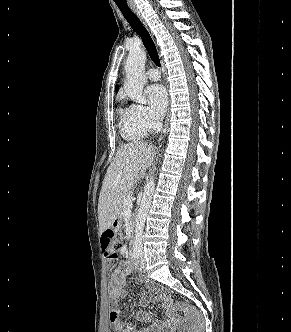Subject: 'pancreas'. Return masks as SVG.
I'll list each match as a JSON object with an SVG mask.
<instances>
[{
  "mask_svg": "<svg viewBox=\"0 0 291 332\" xmlns=\"http://www.w3.org/2000/svg\"><path fill=\"white\" fill-rule=\"evenodd\" d=\"M129 195V192L125 193L124 196L121 199V205H120V212L123 213L126 209L125 204H124V200L126 199V197Z\"/></svg>",
  "mask_w": 291,
  "mask_h": 332,
  "instance_id": "1",
  "label": "pancreas"
}]
</instances>
